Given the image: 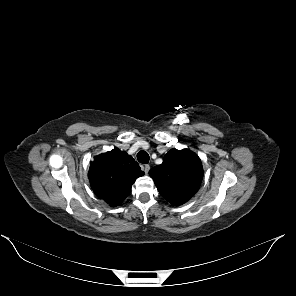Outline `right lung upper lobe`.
I'll list each match as a JSON object with an SVG mask.
<instances>
[{"label": "right lung upper lobe", "mask_w": 296, "mask_h": 296, "mask_svg": "<svg viewBox=\"0 0 296 296\" xmlns=\"http://www.w3.org/2000/svg\"><path fill=\"white\" fill-rule=\"evenodd\" d=\"M143 175L132 156L118 148L96 156L88 172L95 195L113 207L127 197L136 178Z\"/></svg>", "instance_id": "cb5924a9"}]
</instances>
